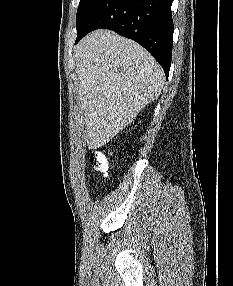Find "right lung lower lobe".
Instances as JSON below:
<instances>
[{"instance_id":"obj_1","label":"right lung lower lobe","mask_w":233,"mask_h":286,"mask_svg":"<svg viewBox=\"0 0 233 286\" xmlns=\"http://www.w3.org/2000/svg\"><path fill=\"white\" fill-rule=\"evenodd\" d=\"M171 4L172 0H95L77 25L76 43L95 29L113 30L148 50L168 77L174 31Z\"/></svg>"}]
</instances>
